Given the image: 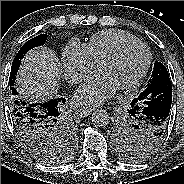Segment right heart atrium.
I'll list each match as a JSON object with an SVG mask.
<instances>
[{"label": "right heart atrium", "mask_w": 184, "mask_h": 184, "mask_svg": "<svg viewBox=\"0 0 184 184\" xmlns=\"http://www.w3.org/2000/svg\"><path fill=\"white\" fill-rule=\"evenodd\" d=\"M61 61L65 77L70 84H78L95 73L98 65L92 59L87 45L79 40H71L63 49Z\"/></svg>", "instance_id": "right-heart-atrium-1"}]
</instances>
